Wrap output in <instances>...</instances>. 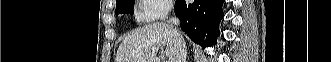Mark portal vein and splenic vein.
<instances>
[{
	"instance_id": "portal-vein-and-splenic-vein-1",
	"label": "portal vein and splenic vein",
	"mask_w": 331,
	"mask_h": 62,
	"mask_svg": "<svg viewBox=\"0 0 331 62\" xmlns=\"http://www.w3.org/2000/svg\"><path fill=\"white\" fill-rule=\"evenodd\" d=\"M152 51H155V48H152Z\"/></svg>"
}]
</instances>
